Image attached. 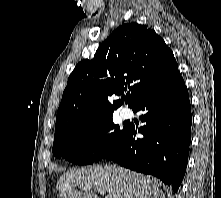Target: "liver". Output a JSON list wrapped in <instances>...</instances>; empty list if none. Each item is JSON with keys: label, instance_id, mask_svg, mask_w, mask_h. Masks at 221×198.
Returning <instances> with one entry per match:
<instances>
[{"label": "liver", "instance_id": "1", "mask_svg": "<svg viewBox=\"0 0 221 198\" xmlns=\"http://www.w3.org/2000/svg\"><path fill=\"white\" fill-rule=\"evenodd\" d=\"M78 187L81 191H77ZM157 179L116 166H88L64 173L56 189L63 198H159L162 195Z\"/></svg>", "mask_w": 221, "mask_h": 198}]
</instances>
